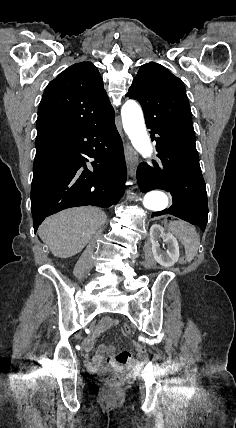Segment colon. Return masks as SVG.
I'll list each match as a JSON object with an SVG mask.
<instances>
[{
	"mask_svg": "<svg viewBox=\"0 0 236 428\" xmlns=\"http://www.w3.org/2000/svg\"><path fill=\"white\" fill-rule=\"evenodd\" d=\"M123 333L129 335L131 329L128 325L123 327ZM125 379L122 375H112L106 380L107 388L112 392H117L124 385Z\"/></svg>",
	"mask_w": 236,
	"mask_h": 428,
	"instance_id": "obj_1",
	"label": "colon"
}]
</instances>
